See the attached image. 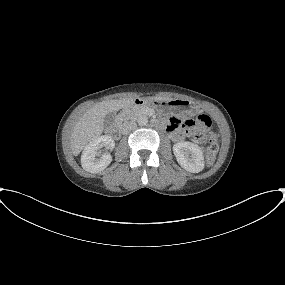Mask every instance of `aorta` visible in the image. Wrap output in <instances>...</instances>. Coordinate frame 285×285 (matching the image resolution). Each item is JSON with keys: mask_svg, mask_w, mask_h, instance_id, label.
Here are the masks:
<instances>
[{"mask_svg": "<svg viewBox=\"0 0 285 285\" xmlns=\"http://www.w3.org/2000/svg\"><path fill=\"white\" fill-rule=\"evenodd\" d=\"M137 122L140 126H145L148 123V119L146 116H140Z\"/></svg>", "mask_w": 285, "mask_h": 285, "instance_id": "obj_1", "label": "aorta"}]
</instances>
